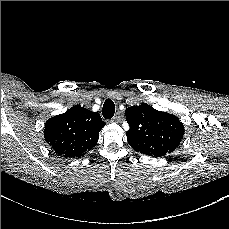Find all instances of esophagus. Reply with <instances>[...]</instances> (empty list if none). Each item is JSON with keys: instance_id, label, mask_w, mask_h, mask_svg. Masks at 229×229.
Masks as SVG:
<instances>
[{"instance_id": "34e87169", "label": "esophagus", "mask_w": 229, "mask_h": 229, "mask_svg": "<svg viewBox=\"0 0 229 229\" xmlns=\"http://www.w3.org/2000/svg\"><path fill=\"white\" fill-rule=\"evenodd\" d=\"M121 119H122L121 113H120V112H117V113L115 114V116L113 117L112 120H113L114 122H120Z\"/></svg>"}]
</instances>
